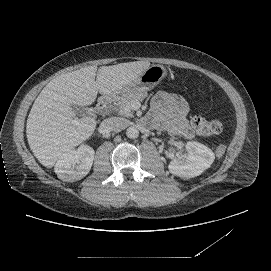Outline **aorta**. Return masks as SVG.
<instances>
[{"mask_svg": "<svg viewBox=\"0 0 271 271\" xmlns=\"http://www.w3.org/2000/svg\"><path fill=\"white\" fill-rule=\"evenodd\" d=\"M126 136L130 139H135L139 136V130L135 126H129L126 129Z\"/></svg>", "mask_w": 271, "mask_h": 271, "instance_id": "obj_1", "label": "aorta"}]
</instances>
